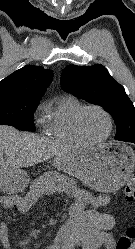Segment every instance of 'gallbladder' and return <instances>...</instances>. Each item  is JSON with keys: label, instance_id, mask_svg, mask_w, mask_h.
<instances>
[{"label": "gallbladder", "instance_id": "bac80fb5", "mask_svg": "<svg viewBox=\"0 0 135 249\" xmlns=\"http://www.w3.org/2000/svg\"><path fill=\"white\" fill-rule=\"evenodd\" d=\"M0 181H1V180H0ZM1 183H2V184H5L6 182L2 180Z\"/></svg>", "mask_w": 135, "mask_h": 249}]
</instances>
